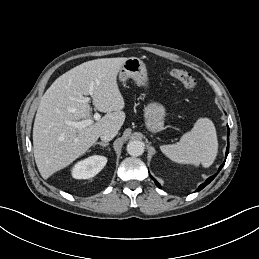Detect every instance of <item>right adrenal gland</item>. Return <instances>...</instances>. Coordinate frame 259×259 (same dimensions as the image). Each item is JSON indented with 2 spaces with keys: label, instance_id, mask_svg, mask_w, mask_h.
Here are the masks:
<instances>
[{
  "label": "right adrenal gland",
  "instance_id": "1",
  "mask_svg": "<svg viewBox=\"0 0 259 259\" xmlns=\"http://www.w3.org/2000/svg\"><path fill=\"white\" fill-rule=\"evenodd\" d=\"M96 144H99V145L102 146V147H106V146L109 145L108 142H96L95 145H96Z\"/></svg>",
  "mask_w": 259,
  "mask_h": 259
}]
</instances>
